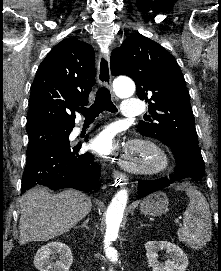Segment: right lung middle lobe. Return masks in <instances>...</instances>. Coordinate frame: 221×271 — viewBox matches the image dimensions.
Returning a JSON list of instances; mask_svg holds the SVG:
<instances>
[{"instance_id":"right-lung-middle-lobe-1","label":"right lung middle lobe","mask_w":221,"mask_h":271,"mask_svg":"<svg viewBox=\"0 0 221 271\" xmlns=\"http://www.w3.org/2000/svg\"><path fill=\"white\" fill-rule=\"evenodd\" d=\"M74 126H45L27 131V155L44 148L70 146L69 134Z\"/></svg>"}]
</instances>
